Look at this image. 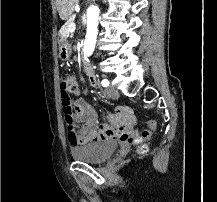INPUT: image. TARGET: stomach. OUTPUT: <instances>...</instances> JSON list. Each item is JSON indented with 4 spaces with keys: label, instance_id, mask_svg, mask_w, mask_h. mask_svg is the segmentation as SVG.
<instances>
[{
    "label": "stomach",
    "instance_id": "0dacf381",
    "mask_svg": "<svg viewBox=\"0 0 217 202\" xmlns=\"http://www.w3.org/2000/svg\"><path fill=\"white\" fill-rule=\"evenodd\" d=\"M71 56V44L67 38H63L59 42V58L60 60H69Z\"/></svg>",
    "mask_w": 217,
    "mask_h": 202
}]
</instances>
